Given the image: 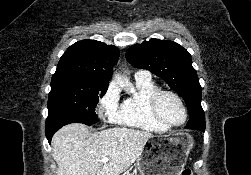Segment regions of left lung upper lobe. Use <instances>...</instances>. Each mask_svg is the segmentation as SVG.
<instances>
[{"label":"left lung upper lobe","instance_id":"left-lung-upper-lobe-1","mask_svg":"<svg viewBox=\"0 0 251 175\" xmlns=\"http://www.w3.org/2000/svg\"><path fill=\"white\" fill-rule=\"evenodd\" d=\"M127 61L135 68L147 69L162 78L186 102L187 108L202 109L201 86L191 55L178 43L150 39L126 51ZM188 129L205 130V118L188 122Z\"/></svg>","mask_w":251,"mask_h":175}]
</instances>
